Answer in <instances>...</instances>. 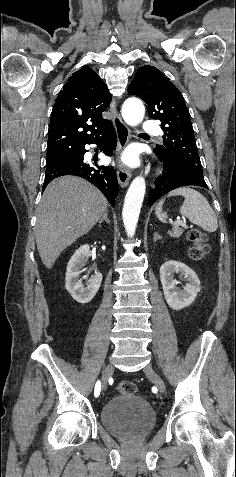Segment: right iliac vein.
I'll list each match as a JSON object with an SVG mask.
<instances>
[{
  "mask_svg": "<svg viewBox=\"0 0 236 477\" xmlns=\"http://www.w3.org/2000/svg\"><path fill=\"white\" fill-rule=\"evenodd\" d=\"M113 372V366L111 364H107L103 370V373H102V385H101V395L104 397V390H106V386H107V382H108V379L110 377V375L112 374Z\"/></svg>",
  "mask_w": 236,
  "mask_h": 477,
  "instance_id": "63e3f726",
  "label": "right iliac vein"
}]
</instances>
